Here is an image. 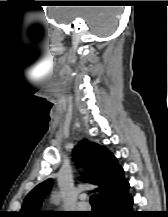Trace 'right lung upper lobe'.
I'll return each instance as SVG.
<instances>
[{
  "instance_id": "obj_1",
  "label": "right lung upper lobe",
  "mask_w": 168,
  "mask_h": 217,
  "mask_svg": "<svg viewBox=\"0 0 168 217\" xmlns=\"http://www.w3.org/2000/svg\"><path fill=\"white\" fill-rule=\"evenodd\" d=\"M76 164L85 170L83 182L98 185L96 189L100 204L125 190L129 184L124 171L115 156L105 147L84 139L73 149ZM52 187V179L37 185L25 198L19 217H45L46 211H39L43 198Z\"/></svg>"
}]
</instances>
